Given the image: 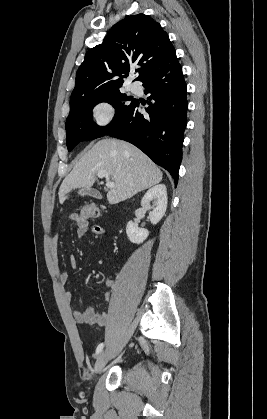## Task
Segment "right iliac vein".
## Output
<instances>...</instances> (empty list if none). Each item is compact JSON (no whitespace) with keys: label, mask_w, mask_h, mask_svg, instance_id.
<instances>
[{"label":"right iliac vein","mask_w":267,"mask_h":419,"mask_svg":"<svg viewBox=\"0 0 267 419\" xmlns=\"http://www.w3.org/2000/svg\"><path fill=\"white\" fill-rule=\"evenodd\" d=\"M108 360H109V352L107 351L101 352L97 357L95 367H94V373L95 374L99 373L102 370V368L106 365Z\"/></svg>","instance_id":"right-iliac-vein-1"}]
</instances>
